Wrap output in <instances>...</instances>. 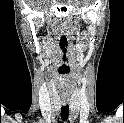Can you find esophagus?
<instances>
[{"mask_svg": "<svg viewBox=\"0 0 124 123\" xmlns=\"http://www.w3.org/2000/svg\"><path fill=\"white\" fill-rule=\"evenodd\" d=\"M64 104H67V101L66 100H64Z\"/></svg>", "mask_w": 124, "mask_h": 123, "instance_id": "34e87169", "label": "esophagus"}]
</instances>
